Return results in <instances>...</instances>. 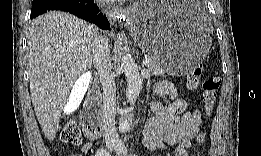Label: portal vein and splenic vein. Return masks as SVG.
<instances>
[{
	"instance_id": "obj_1",
	"label": "portal vein and splenic vein",
	"mask_w": 261,
	"mask_h": 156,
	"mask_svg": "<svg viewBox=\"0 0 261 156\" xmlns=\"http://www.w3.org/2000/svg\"><path fill=\"white\" fill-rule=\"evenodd\" d=\"M150 62V59L148 58V57H145L144 59H143V64L144 65H147L148 63Z\"/></svg>"
}]
</instances>
